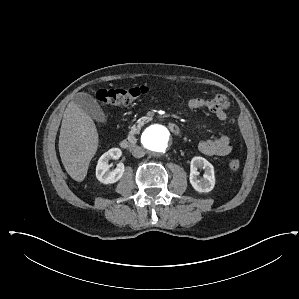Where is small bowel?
Segmentation results:
<instances>
[{"mask_svg": "<svg viewBox=\"0 0 299 299\" xmlns=\"http://www.w3.org/2000/svg\"><path fill=\"white\" fill-rule=\"evenodd\" d=\"M189 109H207L215 115L219 121H226L228 118L227 109L229 101L226 96L218 94L212 98H192L187 102ZM199 150L207 156H225L232 151L228 135L217 138L202 140L198 145Z\"/></svg>", "mask_w": 299, "mask_h": 299, "instance_id": "1", "label": "small bowel"}]
</instances>
